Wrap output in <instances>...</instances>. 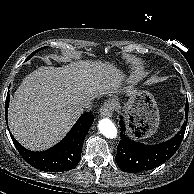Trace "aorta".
<instances>
[{
	"label": "aorta",
	"instance_id": "1",
	"mask_svg": "<svg viewBox=\"0 0 194 194\" xmlns=\"http://www.w3.org/2000/svg\"><path fill=\"white\" fill-rule=\"evenodd\" d=\"M98 129L107 138L113 139L117 136V128L108 118H104L99 121Z\"/></svg>",
	"mask_w": 194,
	"mask_h": 194
}]
</instances>
